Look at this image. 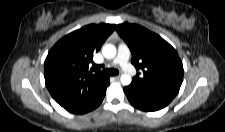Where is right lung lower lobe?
I'll use <instances>...</instances> for the list:
<instances>
[{"mask_svg":"<svg viewBox=\"0 0 225 132\" xmlns=\"http://www.w3.org/2000/svg\"><path fill=\"white\" fill-rule=\"evenodd\" d=\"M109 83H110V82H109V79H108V85H109ZM106 88H107V87H106ZM105 93H106V89L104 90L103 94H102L101 97L98 99V101H97L92 107H90V108H88V109H85V110H77V111H74V112H72V113H75V114H83V113L89 112V111H91V110L97 108V107L101 104V102H102V100H103V98H104V96H105Z\"/></svg>","mask_w":225,"mask_h":132,"instance_id":"1","label":"right lung lower lobe"}]
</instances>
